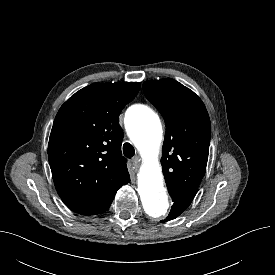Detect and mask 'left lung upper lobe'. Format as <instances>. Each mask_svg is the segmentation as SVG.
I'll list each match as a JSON object with an SVG mask.
<instances>
[{
  "label": "left lung upper lobe",
  "instance_id": "obj_1",
  "mask_svg": "<svg viewBox=\"0 0 275 275\" xmlns=\"http://www.w3.org/2000/svg\"><path fill=\"white\" fill-rule=\"evenodd\" d=\"M143 90L166 123L161 164L168 191L196 193L209 153L206 107L193 91L171 78L146 81Z\"/></svg>",
  "mask_w": 275,
  "mask_h": 275
}]
</instances>
